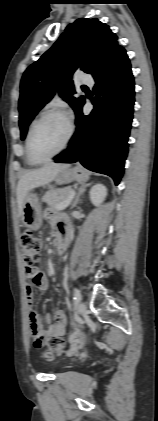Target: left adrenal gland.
Listing matches in <instances>:
<instances>
[{
    "label": "left adrenal gland",
    "instance_id": "a2214340",
    "mask_svg": "<svg viewBox=\"0 0 158 421\" xmlns=\"http://www.w3.org/2000/svg\"><path fill=\"white\" fill-rule=\"evenodd\" d=\"M90 185H91L90 183L81 184V186L77 189V193H76V196L71 208L76 207V205L80 202V197L84 194V192L86 191V188L89 187Z\"/></svg>",
    "mask_w": 158,
    "mask_h": 421
}]
</instances>
